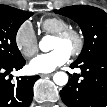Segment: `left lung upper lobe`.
I'll return each mask as SVG.
<instances>
[{
    "label": "left lung upper lobe",
    "mask_w": 107,
    "mask_h": 107,
    "mask_svg": "<svg viewBox=\"0 0 107 107\" xmlns=\"http://www.w3.org/2000/svg\"><path fill=\"white\" fill-rule=\"evenodd\" d=\"M76 21L84 35V47L77 58L82 62L98 53L107 51V13L86 5H74L54 10Z\"/></svg>",
    "instance_id": "obj_1"
}]
</instances>
